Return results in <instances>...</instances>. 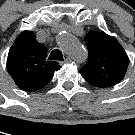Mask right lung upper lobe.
I'll use <instances>...</instances> for the list:
<instances>
[{
    "instance_id": "1",
    "label": "right lung upper lobe",
    "mask_w": 135,
    "mask_h": 135,
    "mask_svg": "<svg viewBox=\"0 0 135 135\" xmlns=\"http://www.w3.org/2000/svg\"><path fill=\"white\" fill-rule=\"evenodd\" d=\"M47 49L36 40L32 31L22 32L9 50L7 71L16 85L25 91L45 87L60 69L55 61L46 60Z\"/></svg>"
}]
</instances>
